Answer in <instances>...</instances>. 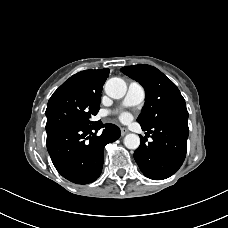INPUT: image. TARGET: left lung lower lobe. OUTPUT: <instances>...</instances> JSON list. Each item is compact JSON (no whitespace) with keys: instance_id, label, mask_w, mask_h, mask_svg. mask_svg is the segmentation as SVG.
<instances>
[{"instance_id":"0a47b994","label":"left lung lower lobe","mask_w":228,"mask_h":228,"mask_svg":"<svg viewBox=\"0 0 228 228\" xmlns=\"http://www.w3.org/2000/svg\"><path fill=\"white\" fill-rule=\"evenodd\" d=\"M188 118L159 123L153 128H144L152 134V142L141 138L134 158L142 173L153 180H162L173 175L182 165L187 150L189 134Z\"/></svg>"}]
</instances>
